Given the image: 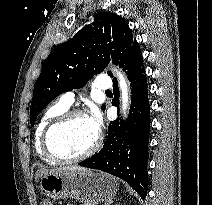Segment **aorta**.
Masks as SVG:
<instances>
[{
	"instance_id": "obj_1",
	"label": "aorta",
	"mask_w": 212,
	"mask_h": 205,
	"mask_svg": "<svg viewBox=\"0 0 212 205\" xmlns=\"http://www.w3.org/2000/svg\"><path fill=\"white\" fill-rule=\"evenodd\" d=\"M113 72L115 73L120 89V98H121V112L124 116V119L127 117L129 106H130V96H129V87L125 75L115 67H112Z\"/></svg>"
}]
</instances>
